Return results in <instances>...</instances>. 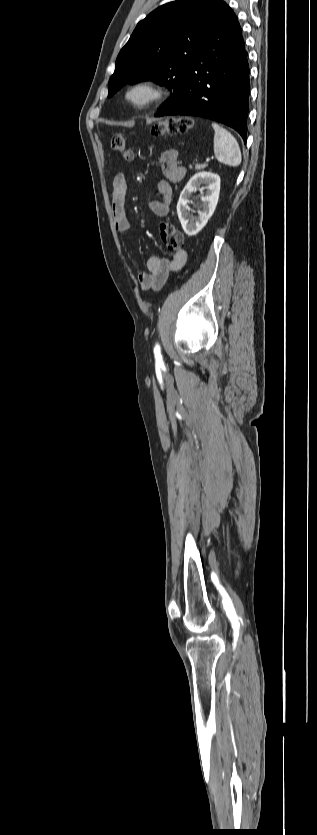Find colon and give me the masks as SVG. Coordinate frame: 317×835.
Here are the masks:
<instances>
[{"mask_svg":"<svg viewBox=\"0 0 317 835\" xmlns=\"http://www.w3.org/2000/svg\"><path fill=\"white\" fill-rule=\"evenodd\" d=\"M193 127V121L187 117H174L161 121L153 126L152 134L155 136L175 135L186 133ZM111 147L119 152L124 160L132 159V151L127 146L126 138L122 134H114L111 138ZM160 237L170 251H180L184 245L182 233L171 222H161L159 225Z\"/></svg>","mask_w":317,"mask_h":835,"instance_id":"5ec220e1","label":"colon"}]
</instances>
